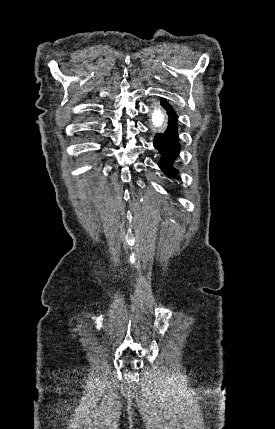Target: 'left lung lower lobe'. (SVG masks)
<instances>
[{"instance_id": "0a47b994", "label": "left lung lower lobe", "mask_w": 275, "mask_h": 429, "mask_svg": "<svg viewBox=\"0 0 275 429\" xmlns=\"http://www.w3.org/2000/svg\"><path fill=\"white\" fill-rule=\"evenodd\" d=\"M169 115V126L165 134H158L155 137L154 146L161 152L162 160L159 163L160 168L169 176L177 173V170L171 166L172 161L179 152L180 145L178 144L177 134V115L172 107L163 102Z\"/></svg>"}]
</instances>
